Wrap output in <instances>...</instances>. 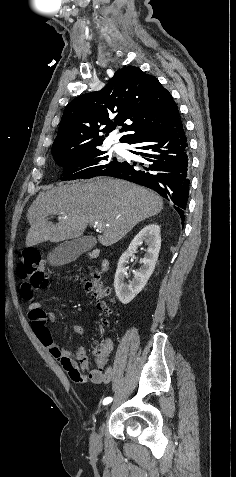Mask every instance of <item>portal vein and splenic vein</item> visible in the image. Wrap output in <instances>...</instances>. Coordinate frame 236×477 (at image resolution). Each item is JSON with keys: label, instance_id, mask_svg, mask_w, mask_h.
Returning a JSON list of instances; mask_svg holds the SVG:
<instances>
[{"label": "portal vein and splenic vein", "instance_id": "18ae733b", "mask_svg": "<svg viewBox=\"0 0 236 477\" xmlns=\"http://www.w3.org/2000/svg\"><path fill=\"white\" fill-rule=\"evenodd\" d=\"M94 227H95L97 230H100V229L103 227V225H102V224H99V223H95V224H94Z\"/></svg>", "mask_w": 236, "mask_h": 477}]
</instances>
